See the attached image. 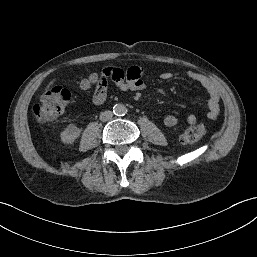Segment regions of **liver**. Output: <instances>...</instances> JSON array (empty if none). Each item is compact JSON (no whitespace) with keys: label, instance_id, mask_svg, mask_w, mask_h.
Instances as JSON below:
<instances>
[{"label":"liver","instance_id":"obj_1","mask_svg":"<svg viewBox=\"0 0 257 257\" xmlns=\"http://www.w3.org/2000/svg\"><path fill=\"white\" fill-rule=\"evenodd\" d=\"M53 83H54V80L49 83V85L47 86V88H49L50 85H52Z\"/></svg>","mask_w":257,"mask_h":257}]
</instances>
